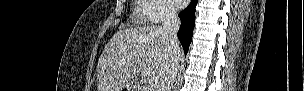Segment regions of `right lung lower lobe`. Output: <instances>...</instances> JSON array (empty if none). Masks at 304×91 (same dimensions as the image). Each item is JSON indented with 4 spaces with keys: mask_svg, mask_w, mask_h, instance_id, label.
<instances>
[{
    "mask_svg": "<svg viewBox=\"0 0 304 91\" xmlns=\"http://www.w3.org/2000/svg\"><path fill=\"white\" fill-rule=\"evenodd\" d=\"M198 0H192L189 6L179 13L181 26L178 31V38L181 42L185 55L188 52L189 45L192 41L193 28L195 25V7Z\"/></svg>",
    "mask_w": 304,
    "mask_h": 91,
    "instance_id": "right-lung-lower-lobe-1",
    "label": "right lung lower lobe"
}]
</instances>
